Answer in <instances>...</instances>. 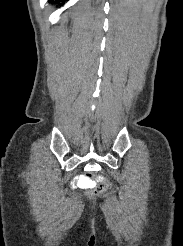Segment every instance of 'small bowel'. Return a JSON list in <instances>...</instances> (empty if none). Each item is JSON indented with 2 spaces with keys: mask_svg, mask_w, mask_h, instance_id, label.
Returning <instances> with one entry per match:
<instances>
[{
  "mask_svg": "<svg viewBox=\"0 0 183 246\" xmlns=\"http://www.w3.org/2000/svg\"><path fill=\"white\" fill-rule=\"evenodd\" d=\"M77 179L75 180V185H88V174H77ZM95 182H109V177H104L103 174H96L95 175ZM108 190H113V184H108Z\"/></svg>",
  "mask_w": 183,
  "mask_h": 246,
  "instance_id": "small-bowel-1",
  "label": "small bowel"
}]
</instances>
